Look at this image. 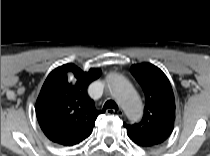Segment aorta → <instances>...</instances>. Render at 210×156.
Segmentation results:
<instances>
[{
  "mask_svg": "<svg viewBox=\"0 0 210 156\" xmlns=\"http://www.w3.org/2000/svg\"><path fill=\"white\" fill-rule=\"evenodd\" d=\"M110 91L120 103L128 118L137 121L142 117V102L129 81L119 75H113L109 79Z\"/></svg>",
  "mask_w": 210,
  "mask_h": 156,
  "instance_id": "1",
  "label": "aorta"
}]
</instances>
